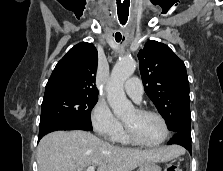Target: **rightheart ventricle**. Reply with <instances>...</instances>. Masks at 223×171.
Wrapping results in <instances>:
<instances>
[{"mask_svg": "<svg viewBox=\"0 0 223 171\" xmlns=\"http://www.w3.org/2000/svg\"><path fill=\"white\" fill-rule=\"evenodd\" d=\"M114 141H116L122 145H128L131 143L125 136V133L123 130H121V132L119 133V135L117 136V138Z\"/></svg>", "mask_w": 223, "mask_h": 171, "instance_id": "right-heart-ventricle-1", "label": "right heart ventricle"}]
</instances>
